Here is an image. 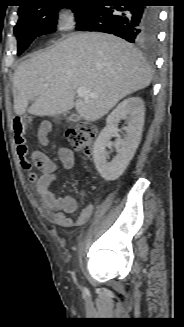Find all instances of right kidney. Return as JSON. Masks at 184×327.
<instances>
[{
    "mask_svg": "<svg viewBox=\"0 0 184 327\" xmlns=\"http://www.w3.org/2000/svg\"><path fill=\"white\" fill-rule=\"evenodd\" d=\"M144 116L143 100L140 97H129L119 103L107 117L106 127L99 134L93 148L96 169L105 180L119 178L129 165L141 141ZM124 118L128 124L125 128L126 135L124 139L118 138L115 141L114 147L118 154L108 162L106 147L109 145L112 133L118 130V124Z\"/></svg>",
    "mask_w": 184,
    "mask_h": 327,
    "instance_id": "obj_1",
    "label": "right kidney"
}]
</instances>
